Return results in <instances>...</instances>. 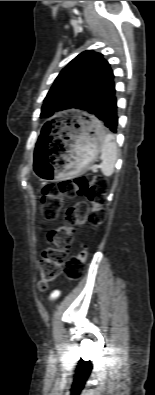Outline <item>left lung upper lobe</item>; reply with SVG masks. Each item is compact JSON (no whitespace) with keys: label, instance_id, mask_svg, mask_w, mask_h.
Instances as JSON below:
<instances>
[{"label":"left lung upper lobe","instance_id":"obj_1","mask_svg":"<svg viewBox=\"0 0 155 395\" xmlns=\"http://www.w3.org/2000/svg\"><path fill=\"white\" fill-rule=\"evenodd\" d=\"M101 53L87 50L75 57L58 75L41 109V116L76 108L111 73Z\"/></svg>","mask_w":155,"mask_h":395}]
</instances>
